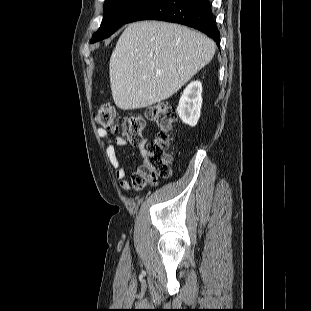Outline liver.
Instances as JSON below:
<instances>
[{
	"label": "liver",
	"mask_w": 311,
	"mask_h": 311,
	"mask_svg": "<svg viewBox=\"0 0 311 311\" xmlns=\"http://www.w3.org/2000/svg\"><path fill=\"white\" fill-rule=\"evenodd\" d=\"M215 47L212 39L185 26L129 24L110 58L114 103L132 110L168 99L212 60Z\"/></svg>",
	"instance_id": "6515ba94"
}]
</instances>
